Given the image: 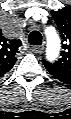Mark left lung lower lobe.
Instances as JSON below:
<instances>
[{
	"instance_id": "left-lung-lower-lobe-1",
	"label": "left lung lower lobe",
	"mask_w": 71,
	"mask_h": 119,
	"mask_svg": "<svg viewBox=\"0 0 71 119\" xmlns=\"http://www.w3.org/2000/svg\"><path fill=\"white\" fill-rule=\"evenodd\" d=\"M45 67L50 74H52L55 78H57L61 82H64L66 84L71 83V72L59 70L57 68H52L49 66H45Z\"/></svg>"
}]
</instances>
